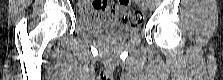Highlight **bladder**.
<instances>
[{
  "mask_svg": "<svg viewBox=\"0 0 223 80\" xmlns=\"http://www.w3.org/2000/svg\"><path fill=\"white\" fill-rule=\"evenodd\" d=\"M78 25L92 35L111 40H126L139 31L138 26L100 16L81 15Z\"/></svg>",
  "mask_w": 223,
  "mask_h": 80,
  "instance_id": "1",
  "label": "bladder"
}]
</instances>
